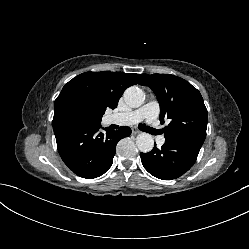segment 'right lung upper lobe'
I'll list each match as a JSON object with an SVG mask.
<instances>
[{
	"label": "right lung upper lobe",
	"instance_id": "cb5924a9",
	"mask_svg": "<svg viewBox=\"0 0 249 249\" xmlns=\"http://www.w3.org/2000/svg\"><path fill=\"white\" fill-rule=\"evenodd\" d=\"M145 74L120 72H86L70 80L55 102L64 96L76 95L91 105L93 125H99L107 108L114 109L126 88L141 84Z\"/></svg>",
	"mask_w": 249,
	"mask_h": 249
}]
</instances>
